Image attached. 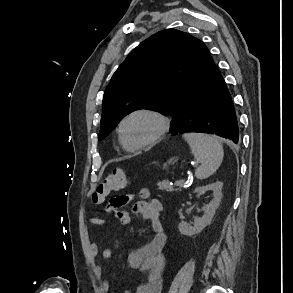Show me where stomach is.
Returning <instances> with one entry per match:
<instances>
[{"label": "stomach", "mask_w": 293, "mask_h": 293, "mask_svg": "<svg viewBox=\"0 0 293 293\" xmlns=\"http://www.w3.org/2000/svg\"><path fill=\"white\" fill-rule=\"evenodd\" d=\"M175 161H176L175 158H170V159L168 160V162L164 164V166L166 167L167 164H172V163H174Z\"/></svg>", "instance_id": "1"}]
</instances>
